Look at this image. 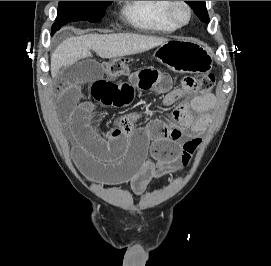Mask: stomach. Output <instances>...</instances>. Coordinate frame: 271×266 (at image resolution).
Listing matches in <instances>:
<instances>
[{"instance_id":"obj_1","label":"stomach","mask_w":271,"mask_h":266,"mask_svg":"<svg viewBox=\"0 0 271 266\" xmlns=\"http://www.w3.org/2000/svg\"><path fill=\"white\" fill-rule=\"evenodd\" d=\"M153 56L177 73H206L213 64L209 50L193 39L168 40Z\"/></svg>"}]
</instances>
